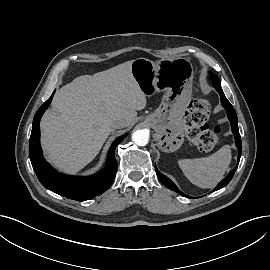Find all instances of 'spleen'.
Listing matches in <instances>:
<instances>
[{
    "instance_id": "1",
    "label": "spleen",
    "mask_w": 270,
    "mask_h": 270,
    "mask_svg": "<svg viewBox=\"0 0 270 270\" xmlns=\"http://www.w3.org/2000/svg\"><path fill=\"white\" fill-rule=\"evenodd\" d=\"M231 159L230 146L225 145L211 156L181 159L178 164L192 184L200 188H213L223 179Z\"/></svg>"
}]
</instances>
